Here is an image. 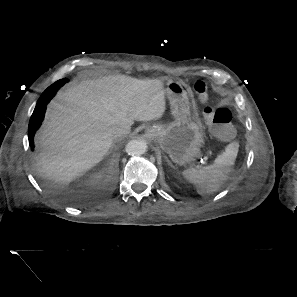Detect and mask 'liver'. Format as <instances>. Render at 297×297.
Returning <instances> with one entry per match:
<instances>
[{
  "label": "liver",
  "instance_id": "1",
  "mask_svg": "<svg viewBox=\"0 0 297 297\" xmlns=\"http://www.w3.org/2000/svg\"><path fill=\"white\" fill-rule=\"evenodd\" d=\"M165 109L162 80L125 75L83 80L48 105L35 137V167L64 190L107 155L116 140L114 126L156 120Z\"/></svg>",
  "mask_w": 297,
  "mask_h": 297
}]
</instances>
